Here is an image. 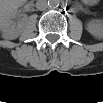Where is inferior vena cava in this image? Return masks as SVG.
<instances>
[{
  "label": "inferior vena cava",
  "mask_w": 103,
  "mask_h": 103,
  "mask_svg": "<svg viewBox=\"0 0 103 103\" xmlns=\"http://www.w3.org/2000/svg\"><path fill=\"white\" fill-rule=\"evenodd\" d=\"M47 7H48V4L46 0H38L36 2V8L40 11L45 10Z\"/></svg>",
  "instance_id": "obj_1"
}]
</instances>
